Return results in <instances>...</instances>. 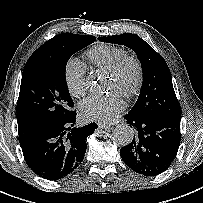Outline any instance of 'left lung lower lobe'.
<instances>
[{
	"label": "left lung lower lobe",
	"instance_id": "1",
	"mask_svg": "<svg viewBox=\"0 0 203 203\" xmlns=\"http://www.w3.org/2000/svg\"><path fill=\"white\" fill-rule=\"evenodd\" d=\"M124 118L135 129L132 142L120 150L125 164L144 176L167 170L180 145L181 115L151 118L128 113Z\"/></svg>",
	"mask_w": 203,
	"mask_h": 203
}]
</instances>
